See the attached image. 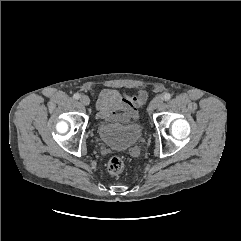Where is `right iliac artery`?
Returning <instances> with one entry per match:
<instances>
[{
	"label": "right iliac artery",
	"instance_id": "82829eb1",
	"mask_svg": "<svg viewBox=\"0 0 241 241\" xmlns=\"http://www.w3.org/2000/svg\"><path fill=\"white\" fill-rule=\"evenodd\" d=\"M73 98L76 99V100H78V99L80 98V94L75 93V94L73 95Z\"/></svg>",
	"mask_w": 241,
	"mask_h": 241
}]
</instances>
